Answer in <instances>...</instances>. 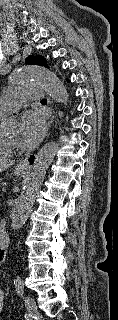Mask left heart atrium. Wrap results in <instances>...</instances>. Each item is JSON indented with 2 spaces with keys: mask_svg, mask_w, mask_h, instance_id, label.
<instances>
[{
  "mask_svg": "<svg viewBox=\"0 0 118 320\" xmlns=\"http://www.w3.org/2000/svg\"><path fill=\"white\" fill-rule=\"evenodd\" d=\"M46 132V121L44 114L39 110L27 111L23 114L19 136L28 145H35L41 141Z\"/></svg>",
  "mask_w": 118,
  "mask_h": 320,
  "instance_id": "1",
  "label": "left heart atrium"
}]
</instances>
